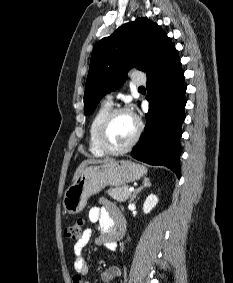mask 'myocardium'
<instances>
[{
  "mask_svg": "<svg viewBox=\"0 0 233 283\" xmlns=\"http://www.w3.org/2000/svg\"><path fill=\"white\" fill-rule=\"evenodd\" d=\"M129 113L133 116L136 122V129L132 139L122 148H111L106 142V134L112 120L119 114ZM142 124L140 120L126 107H118L111 109L108 114L104 117L101 122L98 132H97V144L99 148L105 153L109 155H119L128 152L138 141L141 134Z\"/></svg>",
  "mask_w": 233,
  "mask_h": 283,
  "instance_id": "1",
  "label": "myocardium"
}]
</instances>
